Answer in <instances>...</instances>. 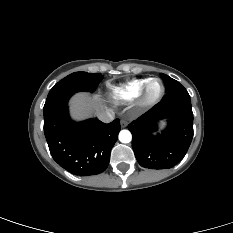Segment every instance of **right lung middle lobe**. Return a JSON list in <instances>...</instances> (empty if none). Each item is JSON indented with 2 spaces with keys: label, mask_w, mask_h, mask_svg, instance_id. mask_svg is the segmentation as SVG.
Returning <instances> with one entry per match:
<instances>
[{
  "label": "right lung middle lobe",
  "mask_w": 233,
  "mask_h": 233,
  "mask_svg": "<svg viewBox=\"0 0 233 233\" xmlns=\"http://www.w3.org/2000/svg\"><path fill=\"white\" fill-rule=\"evenodd\" d=\"M100 73L75 72L59 81L49 92L45 105L65 97H71L79 91L93 92L100 81Z\"/></svg>",
  "instance_id": "dd1d6c3e"
}]
</instances>
